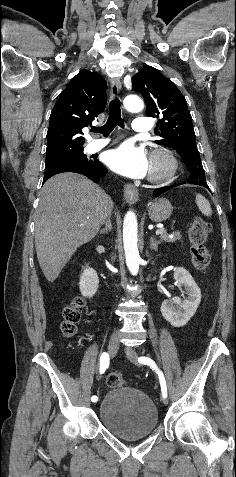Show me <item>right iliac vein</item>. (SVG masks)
Returning <instances> with one entry per match:
<instances>
[{
    "label": "right iliac vein",
    "mask_w": 236,
    "mask_h": 477,
    "mask_svg": "<svg viewBox=\"0 0 236 477\" xmlns=\"http://www.w3.org/2000/svg\"><path fill=\"white\" fill-rule=\"evenodd\" d=\"M118 348H119V341H118V337L116 335L112 336V338L110 339V342H109V346H108V352H109V355L111 357H114L118 351ZM99 389H101V387L99 386L98 388H96V396H98L97 400H98V403L101 402V399L102 398H99ZM98 403L97 404H93V407L94 408H97L98 407Z\"/></svg>",
    "instance_id": "63e3f726"
}]
</instances>
